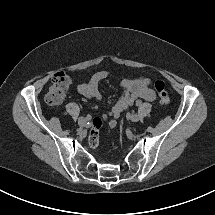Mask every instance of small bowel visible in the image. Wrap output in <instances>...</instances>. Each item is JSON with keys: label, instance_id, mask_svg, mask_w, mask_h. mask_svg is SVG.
<instances>
[{"label": "small bowel", "instance_id": "1", "mask_svg": "<svg viewBox=\"0 0 215 215\" xmlns=\"http://www.w3.org/2000/svg\"><path fill=\"white\" fill-rule=\"evenodd\" d=\"M108 77V72L105 70L94 73L87 82H83L77 86V91L86 98L102 100L99 92V84ZM123 94L112 107V109L105 115L106 118H117L129 106L132 105L135 99L141 98L147 101H154L156 99L155 92L149 88V80L145 77L136 79H123L121 81ZM116 120L111 119L109 126L115 128Z\"/></svg>", "mask_w": 215, "mask_h": 215}]
</instances>
